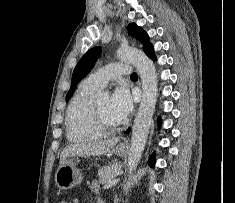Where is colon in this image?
<instances>
[{"instance_id": "colon-1", "label": "colon", "mask_w": 235, "mask_h": 203, "mask_svg": "<svg viewBox=\"0 0 235 203\" xmlns=\"http://www.w3.org/2000/svg\"><path fill=\"white\" fill-rule=\"evenodd\" d=\"M58 203H78L75 198H64L63 200L59 201Z\"/></svg>"}]
</instances>
